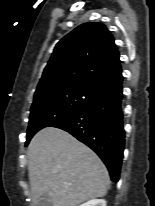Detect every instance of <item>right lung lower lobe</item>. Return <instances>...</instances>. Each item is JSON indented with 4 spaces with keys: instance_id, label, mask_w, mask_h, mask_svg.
Instances as JSON below:
<instances>
[{
    "instance_id": "obj_1",
    "label": "right lung lower lobe",
    "mask_w": 155,
    "mask_h": 206,
    "mask_svg": "<svg viewBox=\"0 0 155 206\" xmlns=\"http://www.w3.org/2000/svg\"><path fill=\"white\" fill-rule=\"evenodd\" d=\"M122 98L121 82L79 112L52 126L69 132L95 151L114 182L119 180L125 144Z\"/></svg>"
}]
</instances>
